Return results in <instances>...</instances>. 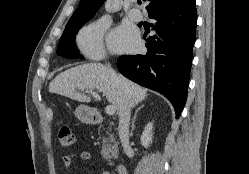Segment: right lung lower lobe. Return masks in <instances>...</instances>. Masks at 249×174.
Masks as SVG:
<instances>
[{"label": "right lung lower lobe", "mask_w": 249, "mask_h": 174, "mask_svg": "<svg viewBox=\"0 0 249 174\" xmlns=\"http://www.w3.org/2000/svg\"><path fill=\"white\" fill-rule=\"evenodd\" d=\"M149 17L156 34L148 39L145 55H123L119 71L132 81L163 94L180 116L187 98L192 49L196 35V0L161 7Z\"/></svg>", "instance_id": "1"}]
</instances>
